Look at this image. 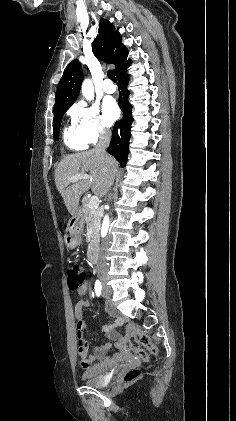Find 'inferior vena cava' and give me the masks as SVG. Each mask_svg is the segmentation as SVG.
Wrapping results in <instances>:
<instances>
[{
  "label": "inferior vena cava",
  "mask_w": 236,
  "mask_h": 421,
  "mask_svg": "<svg viewBox=\"0 0 236 421\" xmlns=\"http://www.w3.org/2000/svg\"><path fill=\"white\" fill-rule=\"evenodd\" d=\"M111 138V130L109 128H99V142L95 146L96 152H103L106 154V148H108L110 144ZM106 247H108V241H104L101 249L100 255L97 263V273H106V259L103 257V251H105Z\"/></svg>",
  "instance_id": "1"
}]
</instances>
